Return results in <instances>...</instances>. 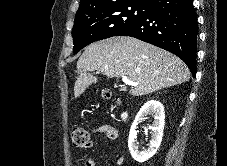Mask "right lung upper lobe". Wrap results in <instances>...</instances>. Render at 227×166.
<instances>
[{
  "instance_id": "obj_1",
  "label": "right lung upper lobe",
  "mask_w": 227,
  "mask_h": 166,
  "mask_svg": "<svg viewBox=\"0 0 227 166\" xmlns=\"http://www.w3.org/2000/svg\"><path fill=\"white\" fill-rule=\"evenodd\" d=\"M154 0H81L80 6L76 14L90 12L106 7L127 4V3H138L143 5H150Z\"/></svg>"
}]
</instances>
